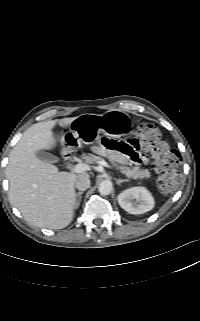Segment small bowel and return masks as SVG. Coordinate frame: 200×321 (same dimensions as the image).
Listing matches in <instances>:
<instances>
[{"label": "small bowel", "mask_w": 200, "mask_h": 321, "mask_svg": "<svg viewBox=\"0 0 200 321\" xmlns=\"http://www.w3.org/2000/svg\"><path fill=\"white\" fill-rule=\"evenodd\" d=\"M99 142L112 152V158L122 161L127 159L131 163L145 161L147 151L139 137L127 135L124 139L101 135Z\"/></svg>", "instance_id": "1"}]
</instances>
